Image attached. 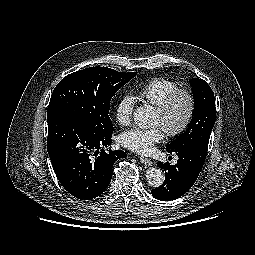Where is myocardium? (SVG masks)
<instances>
[{
	"instance_id": "obj_1",
	"label": "myocardium",
	"mask_w": 255,
	"mask_h": 255,
	"mask_svg": "<svg viewBox=\"0 0 255 255\" xmlns=\"http://www.w3.org/2000/svg\"><path fill=\"white\" fill-rule=\"evenodd\" d=\"M179 96H184L188 101V110L183 121L176 127H163L165 133L170 137H178L182 135L190 126L195 110H196V98L194 93L187 88H176L170 94H168L163 101L156 106V111L162 118H166L169 111Z\"/></svg>"
}]
</instances>
